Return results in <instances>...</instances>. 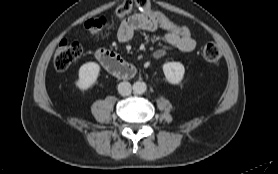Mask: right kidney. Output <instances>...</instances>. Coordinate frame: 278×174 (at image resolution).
<instances>
[{
    "instance_id": "obj_1",
    "label": "right kidney",
    "mask_w": 278,
    "mask_h": 174,
    "mask_svg": "<svg viewBox=\"0 0 278 174\" xmlns=\"http://www.w3.org/2000/svg\"><path fill=\"white\" fill-rule=\"evenodd\" d=\"M100 66L95 62H87L79 69V78L76 82L80 90L89 89L97 80Z\"/></svg>"
}]
</instances>
